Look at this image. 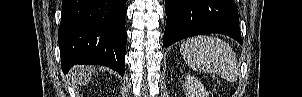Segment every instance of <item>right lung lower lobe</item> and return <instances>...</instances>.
I'll list each match as a JSON object with an SVG mask.
<instances>
[{
	"label": "right lung lower lobe",
	"instance_id": "98d812e1",
	"mask_svg": "<svg viewBox=\"0 0 302 97\" xmlns=\"http://www.w3.org/2000/svg\"><path fill=\"white\" fill-rule=\"evenodd\" d=\"M126 0H63L59 48L64 73L74 64L124 74Z\"/></svg>",
	"mask_w": 302,
	"mask_h": 97
}]
</instances>
